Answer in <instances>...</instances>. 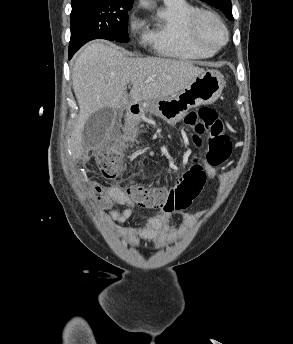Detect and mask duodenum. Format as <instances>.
<instances>
[{
    "mask_svg": "<svg viewBox=\"0 0 293 344\" xmlns=\"http://www.w3.org/2000/svg\"><path fill=\"white\" fill-rule=\"evenodd\" d=\"M137 114H138L137 112H131L130 111V115L133 116V117H135Z\"/></svg>",
    "mask_w": 293,
    "mask_h": 344,
    "instance_id": "duodenum-1",
    "label": "duodenum"
}]
</instances>
